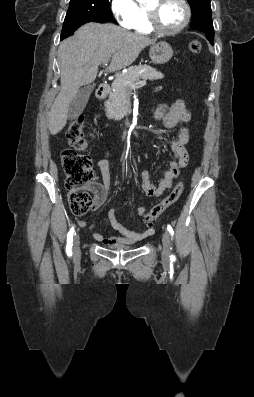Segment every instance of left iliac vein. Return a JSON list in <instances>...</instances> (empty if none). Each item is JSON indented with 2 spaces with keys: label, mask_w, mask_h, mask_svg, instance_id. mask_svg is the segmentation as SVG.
<instances>
[{
  "label": "left iliac vein",
  "mask_w": 254,
  "mask_h": 397,
  "mask_svg": "<svg viewBox=\"0 0 254 397\" xmlns=\"http://www.w3.org/2000/svg\"><path fill=\"white\" fill-rule=\"evenodd\" d=\"M162 244H163L162 260L164 262H168L170 258V235L167 231L163 233Z\"/></svg>",
  "instance_id": "left-iliac-vein-1"
}]
</instances>
